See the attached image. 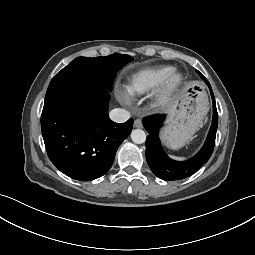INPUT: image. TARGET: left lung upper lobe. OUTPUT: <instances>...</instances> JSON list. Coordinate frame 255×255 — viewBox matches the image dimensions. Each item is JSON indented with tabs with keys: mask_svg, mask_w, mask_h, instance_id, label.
Segmentation results:
<instances>
[{
	"mask_svg": "<svg viewBox=\"0 0 255 255\" xmlns=\"http://www.w3.org/2000/svg\"><path fill=\"white\" fill-rule=\"evenodd\" d=\"M197 72L199 73V75L201 76L202 79L205 78L199 71H197Z\"/></svg>",
	"mask_w": 255,
	"mask_h": 255,
	"instance_id": "left-lung-upper-lobe-1",
	"label": "left lung upper lobe"
}]
</instances>
